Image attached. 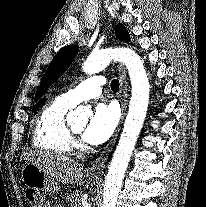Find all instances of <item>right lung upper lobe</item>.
I'll use <instances>...</instances> for the list:
<instances>
[{
	"mask_svg": "<svg viewBox=\"0 0 206 207\" xmlns=\"http://www.w3.org/2000/svg\"><path fill=\"white\" fill-rule=\"evenodd\" d=\"M43 103H44V99L40 101L39 104L34 107V109H37L39 106L43 105Z\"/></svg>",
	"mask_w": 206,
	"mask_h": 207,
	"instance_id": "right-lung-upper-lobe-1",
	"label": "right lung upper lobe"
}]
</instances>
